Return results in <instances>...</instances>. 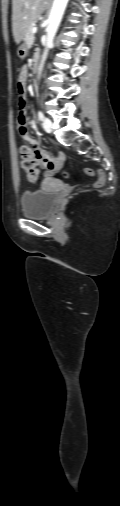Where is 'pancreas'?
Returning <instances> with one entry per match:
<instances>
[{
    "label": "pancreas",
    "mask_w": 120,
    "mask_h": 506,
    "mask_svg": "<svg viewBox=\"0 0 120 506\" xmlns=\"http://www.w3.org/2000/svg\"><path fill=\"white\" fill-rule=\"evenodd\" d=\"M32 28H33V25L30 24L28 26L26 33H25V43H26L27 47H31L34 42V34L32 33Z\"/></svg>",
    "instance_id": "1"
}]
</instances>
